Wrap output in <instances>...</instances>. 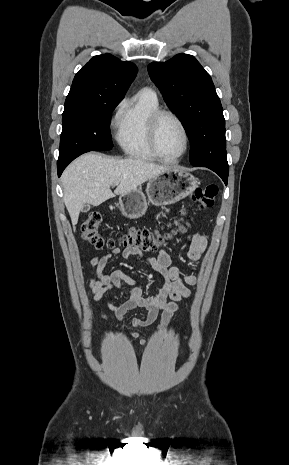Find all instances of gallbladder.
I'll list each match as a JSON object with an SVG mask.
<instances>
[{
	"instance_id": "gallbladder-1",
	"label": "gallbladder",
	"mask_w": 289,
	"mask_h": 465,
	"mask_svg": "<svg viewBox=\"0 0 289 465\" xmlns=\"http://www.w3.org/2000/svg\"><path fill=\"white\" fill-rule=\"evenodd\" d=\"M90 210V205L89 204H84L81 208L82 212H87Z\"/></svg>"
}]
</instances>
